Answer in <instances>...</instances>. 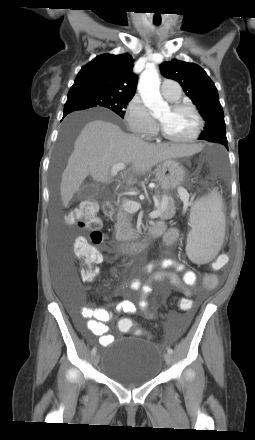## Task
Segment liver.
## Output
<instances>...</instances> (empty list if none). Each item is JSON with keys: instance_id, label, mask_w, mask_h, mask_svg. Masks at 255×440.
I'll return each instance as SVG.
<instances>
[{"instance_id": "liver-1", "label": "liver", "mask_w": 255, "mask_h": 440, "mask_svg": "<svg viewBox=\"0 0 255 440\" xmlns=\"http://www.w3.org/2000/svg\"><path fill=\"white\" fill-rule=\"evenodd\" d=\"M199 144H150L124 133L108 121L93 120L81 130L74 143L60 184L61 199L67 207L84 179L107 183L111 168L117 163L131 164L133 174H145L158 163L172 158L191 156L202 149ZM136 182L132 176L128 185Z\"/></svg>"}]
</instances>
